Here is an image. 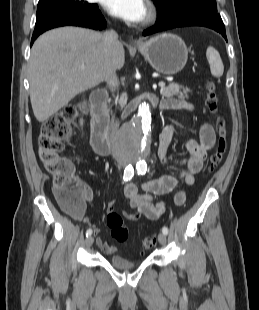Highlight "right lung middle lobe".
I'll use <instances>...</instances> for the list:
<instances>
[{"label": "right lung middle lobe", "mask_w": 259, "mask_h": 310, "mask_svg": "<svg viewBox=\"0 0 259 310\" xmlns=\"http://www.w3.org/2000/svg\"><path fill=\"white\" fill-rule=\"evenodd\" d=\"M96 4L84 0H39L36 25L53 16H75L86 13Z\"/></svg>", "instance_id": "dd1d6c3e"}]
</instances>
